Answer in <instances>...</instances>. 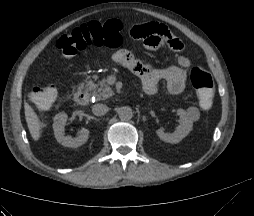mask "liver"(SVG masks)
I'll use <instances>...</instances> for the list:
<instances>
[{"mask_svg": "<svg viewBox=\"0 0 254 216\" xmlns=\"http://www.w3.org/2000/svg\"><path fill=\"white\" fill-rule=\"evenodd\" d=\"M24 108H25V119L27 122L29 132L33 140L38 141L41 136V122L37 114L29 106L28 103H25Z\"/></svg>", "mask_w": 254, "mask_h": 216, "instance_id": "1", "label": "liver"}]
</instances>
